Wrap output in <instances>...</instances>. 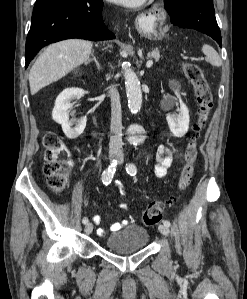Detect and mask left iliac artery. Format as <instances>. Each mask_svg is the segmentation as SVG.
<instances>
[{
	"label": "left iliac artery",
	"mask_w": 247,
	"mask_h": 299,
	"mask_svg": "<svg viewBox=\"0 0 247 299\" xmlns=\"http://www.w3.org/2000/svg\"><path fill=\"white\" fill-rule=\"evenodd\" d=\"M126 171L128 174L131 176H134L137 172L136 166L133 163H128L126 166ZM163 224L166 225L167 227L170 226V221L169 220H164Z\"/></svg>",
	"instance_id": "1"
}]
</instances>
